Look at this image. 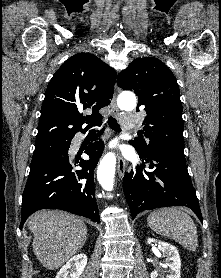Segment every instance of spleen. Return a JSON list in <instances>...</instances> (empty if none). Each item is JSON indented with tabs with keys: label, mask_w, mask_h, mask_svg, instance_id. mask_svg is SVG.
I'll return each mask as SVG.
<instances>
[{
	"label": "spleen",
	"mask_w": 221,
	"mask_h": 278,
	"mask_svg": "<svg viewBox=\"0 0 221 278\" xmlns=\"http://www.w3.org/2000/svg\"><path fill=\"white\" fill-rule=\"evenodd\" d=\"M147 223L153 231L175 240L189 251L198 247L197 228L192 218L179 208L157 209L148 216Z\"/></svg>",
	"instance_id": "1"
}]
</instances>
